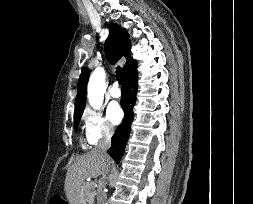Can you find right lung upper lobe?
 <instances>
[{
  "label": "right lung upper lobe",
  "instance_id": "right-lung-upper-lobe-1",
  "mask_svg": "<svg viewBox=\"0 0 253 204\" xmlns=\"http://www.w3.org/2000/svg\"><path fill=\"white\" fill-rule=\"evenodd\" d=\"M105 54L110 63H116L122 56H125L127 63L124 65V74L129 71L136 61L130 57V41L128 40L127 32L122 29L118 24H109V36L105 42ZM89 79V70L84 68L78 80V93L75 102L74 117L83 113L86 103V88Z\"/></svg>",
  "mask_w": 253,
  "mask_h": 204
}]
</instances>
